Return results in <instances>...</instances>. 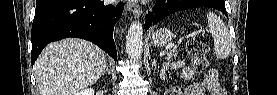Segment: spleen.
<instances>
[{"label": "spleen", "instance_id": "obj_1", "mask_svg": "<svg viewBox=\"0 0 277 95\" xmlns=\"http://www.w3.org/2000/svg\"><path fill=\"white\" fill-rule=\"evenodd\" d=\"M208 26L214 39V51L218 59L226 58L231 52V37L225 23L213 12L207 14Z\"/></svg>", "mask_w": 277, "mask_h": 95}]
</instances>
